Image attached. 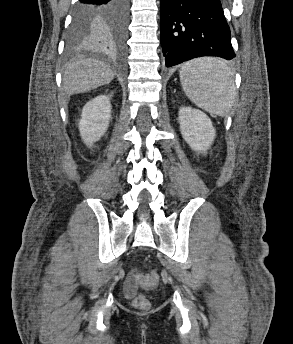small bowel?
<instances>
[{"instance_id":"small-bowel-1","label":"small bowel","mask_w":293,"mask_h":344,"mask_svg":"<svg viewBox=\"0 0 293 344\" xmlns=\"http://www.w3.org/2000/svg\"><path fill=\"white\" fill-rule=\"evenodd\" d=\"M135 291H136V284L134 280L131 278V275H129L124 285V292L128 297H131L134 295Z\"/></svg>"}]
</instances>
